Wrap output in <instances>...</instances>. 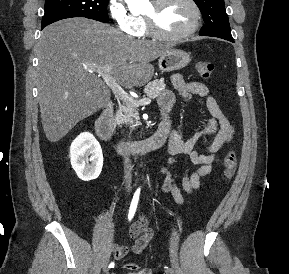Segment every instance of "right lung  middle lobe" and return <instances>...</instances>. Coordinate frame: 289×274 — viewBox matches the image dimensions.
<instances>
[{"instance_id":"1","label":"right lung middle lobe","mask_w":289,"mask_h":274,"mask_svg":"<svg viewBox=\"0 0 289 274\" xmlns=\"http://www.w3.org/2000/svg\"><path fill=\"white\" fill-rule=\"evenodd\" d=\"M107 5L108 0H46L42 26L72 17L108 23Z\"/></svg>"}]
</instances>
